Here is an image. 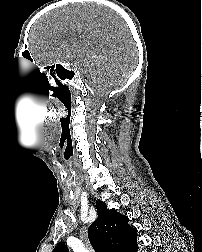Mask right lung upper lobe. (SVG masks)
Here are the masks:
<instances>
[{
	"label": "right lung upper lobe",
	"instance_id": "right-lung-upper-lobe-1",
	"mask_svg": "<svg viewBox=\"0 0 202 252\" xmlns=\"http://www.w3.org/2000/svg\"><path fill=\"white\" fill-rule=\"evenodd\" d=\"M98 218L88 231L89 241L96 252H130L137 244V230L128 225V217L107 209L104 202L96 203ZM53 252H69L59 243Z\"/></svg>",
	"mask_w": 202,
	"mask_h": 252
}]
</instances>
